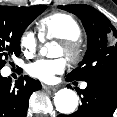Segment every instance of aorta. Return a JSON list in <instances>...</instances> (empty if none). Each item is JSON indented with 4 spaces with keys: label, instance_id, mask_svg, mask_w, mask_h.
Returning a JSON list of instances; mask_svg holds the SVG:
<instances>
[{
    "label": "aorta",
    "instance_id": "aorta-1",
    "mask_svg": "<svg viewBox=\"0 0 117 117\" xmlns=\"http://www.w3.org/2000/svg\"><path fill=\"white\" fill-rule=\"evenodd\" d=\"M52 44L53 43H48L46 46L42 47L40 50L41 55L52 57V55L49 54V47ZM78 101L79 99L77 94L68 88L59 90L54 96V104L57 111L66 115L71 114L75 111L78 106Z\"/></svg>",
    "mask_w": 117,
    "mask_h": 117
}]
</instances>
